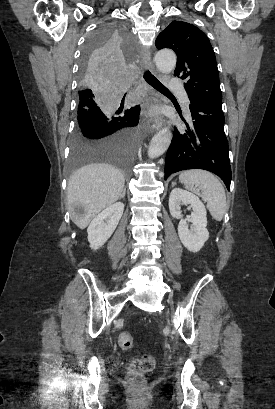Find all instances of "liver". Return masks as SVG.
<instances>
[{
    "label": "liver",
    "instance_id": "1",
    "mask_svg": "<svg viewBox=\"0 0 275 409\" xmlns=\"http://www.w3.org/2000/svg\"><path fill=\"white\" fill-rule=\"evenodd\" d=\"M124 184L122 170L104 162H92L73 172L68 182L69 209L73 205L86 207L85 217L81 221H74L75 225L79 229H86L100 211L118 200Z\"/></svg>",
    "mask_w": 275,
    "mask_h": 409
}]
</instances>
